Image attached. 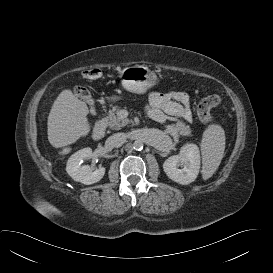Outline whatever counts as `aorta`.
<instances>
[{
  "label": "aorta",
  "mask_w": 273,
  "mask_h": 273,
  "mask_svg": "<svg viewBox=\"0 0 273 273\" xmlns=\"http://www.w3.org/2000/svg\"><path fill=\"white\" fill-rule=\"evenodd\" d=\"M133 148L135 150H142L143 149V142L141 140H135L133 143Z\"/></svg>",
  "instance_id": "762f6f07"
}]
</instances>
